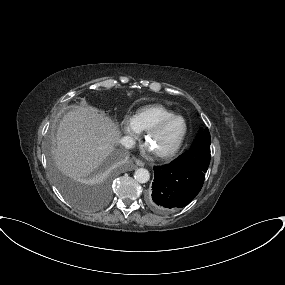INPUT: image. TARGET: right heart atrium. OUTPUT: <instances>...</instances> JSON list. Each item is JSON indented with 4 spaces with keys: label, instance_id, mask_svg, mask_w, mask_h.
Instances as JSON below:
<instances>
[{
    "label": "right heart atrium",
    "instance_id": "1",
    "mask_svg": "<svg viewBox=\"0 0 285 285\" xmlns=\"http://www.w3.org/2000/svg\"><path fill=\"white\" fill-rule=\"evenodd\" d=\"M122 130L124 134L134 139L137 138L140 134V130L138 129L134 118L131 117H124L122 120Z\"/></svg>",
    "mask_w": 285,
    "mask_h": 285
}]
</instances>
